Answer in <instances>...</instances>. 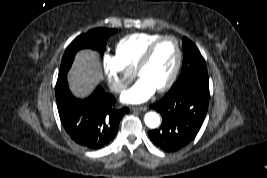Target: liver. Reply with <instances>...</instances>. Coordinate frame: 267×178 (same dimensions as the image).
I'll return each instance as SVG.
<instances>
[{
    "label": "liver",
    "instance_id": "1",
    "mask_svg": "<svg viewBox=\"0 0 267 178\" xmlns=\"http://www.w3.org/2000/svg\"><path fill=\"white\" fill-rule=\"evenodd\" d=\"M103 79L99 56L92 50L79 51L69 72V82L76 96L85 97Z\"/></svg>",
    "mask_w": 267,
    "mask_h": 178
}]
</instances>
